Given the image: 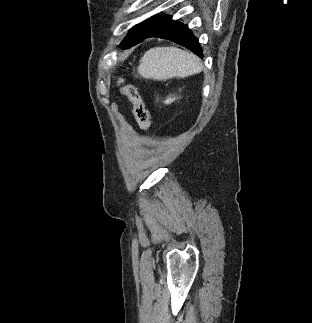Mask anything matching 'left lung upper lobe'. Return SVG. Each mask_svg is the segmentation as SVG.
I'll list each match as a JSON object with an SVG mask.
<instances>
[{
  "label": "left lung upper lobe",
  "mask_w": 312,
  "mask_h": 323,
  "mask_svg": "<svg viewBox=\"0 0 312 323\" xmlns=\"http://www.w3.org/2000/svg\"><path fill=\"white\" fill-rule=\"evenodd\" d=\"M165 16L159 17L158 15L152 16L151 18L135 25L131 28L129 34L121 42V45L125 48L134 46L152 30L153 26L161 21Z\"/></svg>",
  "instance_id": "5c2ea615"
}]
</instances>
